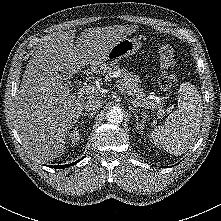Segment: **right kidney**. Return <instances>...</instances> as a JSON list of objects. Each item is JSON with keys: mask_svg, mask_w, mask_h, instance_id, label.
<instances>
[{"mask_svg": "<svg viewBox=\"0 0 221 221\" xmlns=\"http://www.w3.org/2000/svg\"><path fill=\"white\" fill-rule=\"evenodd\" d=\"M80 136H81L80 129L75 128L73 131H71L69 138L72 144L75 145L80 140Z\"/></svg>", "mask_w": 221, "mask_h": 221, "instance_id": "right-kidney-1", "label": "right kidney"}]
</instances>
